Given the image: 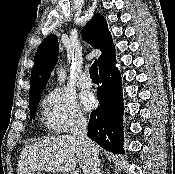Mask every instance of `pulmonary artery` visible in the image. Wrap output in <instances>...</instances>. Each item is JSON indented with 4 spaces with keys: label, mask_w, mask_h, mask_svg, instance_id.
Wrapping results in <instances>:
<instances>
[{
    "label": "pulmonary artery",
    "mask_w": 175,
    "mask_h": 174,
    "mask_svg": "<svg viewBox=\"0 0 175 174\" xmlns=\"http://www.w3.org/2000/svg\"><path fill=\"white\" fill-rule=\"evenodd\" d=\"M79 85L82 88H86V89H89L92 87L93 83L88 73L85 72L81 74V76L79 77Z\"/></svg>",
    "instance_id": "1"
}]
</instances>
